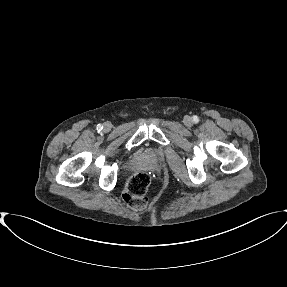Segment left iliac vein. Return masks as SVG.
<instances>
[{"label": "left iliac vein", "mask_w": 287, "mask_h": 287, "mask_svg": "<svg viewBox=\"0 0 287 287\" xmlns=\"http://www.w3.org/2000/svg\"><path fill=\"white\" fill-rule=\"evenodd\" d=\"M184 123H185L187 126H191V125H192V119H191V117L186 116V117L184 118Z\"/></svg>", "instance_id": "1"}]
</instances>
